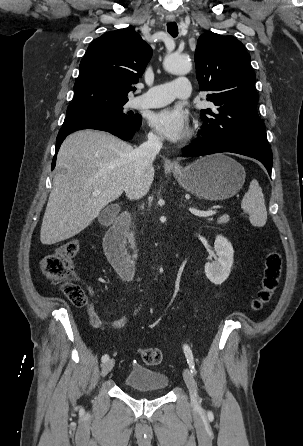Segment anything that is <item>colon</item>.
<instances>
[{
	"label": "colon",
	"mask_w": 303,
	"mask_h": 446,
	"mask_svg": "<svg viewBox=\"0 0 303 446\" xmlns=\"http://www.w3.org/2000/svg\"><path fill=\"white\" fill-rule=\"evenodd\" d=\"M78 240L70 239L60 244L56 250L40 261L42 274L51 282L60 283L64 296L75 306H83L87 296L83 288L73 280V258L78 254ZM282 271V256L277 250H271L265 258L262 281L259 291L250 303V309L259 311L267 304L277 289ZM142 361L148 366L159 365L162 352L158 348L140 351Z\"/></svg>",
	"instance_id": "colon-1"
}]
</instances>
